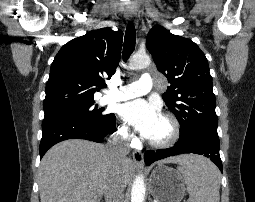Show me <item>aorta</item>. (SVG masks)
<instances>
[{"label":"aorta","mask_w":255,"mask_h":202,"mask_svg":"<svg viewBox=\"0 0 255 202\" xmlns=\"http://www.w3.org/2000/svg\"><path fill=\"white\" fill-rule=\"evenodd\" d=\"M151 63V59L146 54H135L130 60L131 69L147 68ZM145 183L142 175L136 176L131 190V202H143L145 196Z\"/></svg>","instance_id":"1"}]
</instances>
